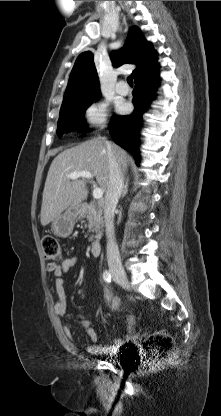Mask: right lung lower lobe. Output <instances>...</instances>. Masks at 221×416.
I'll list each match as a JSON object with an SVG mask.
<instances>
[{
    "label": "right lung lower lobe",
    "instance_id": "1",
    "mask_svg": "<svg viewBox=\"0 0 221 416\" xmlns=\"http://www.w3.org/2000/svg\"><path fill=\"white\" fill-rule=\"evenodd\" d=\"M159 85L158 69L135 79L133 91L134 111L128 116H114L110 123L111 135L115 143L129 151L140 162L138 135L142 125V116L148 110L151 100L155 97Z\"/></svg>",
    "mask_w": 221,
    "mask_h": 416
}]
</instances>
